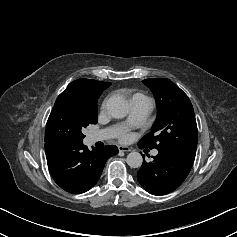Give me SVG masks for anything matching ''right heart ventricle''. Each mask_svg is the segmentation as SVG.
Wrapping results in <instances>:
<instances>
[{"instance_id": "1", "label": "right heart ventricle", "mask_w": 237, "mask_h": 237, "mask_svg": "<svg viewBox=\"0 0 237 237\" xmlns=\"http://www.w3.org/2000/svg\"><path fill=\"white\" fill-rule=\"evenodd\" d=\"M136 98H143V99L149 100L144 94L139 93V92L131 94L130 97H129V100L131 101V100L136 99Z\"/></svg>"}]
</instances>
